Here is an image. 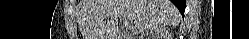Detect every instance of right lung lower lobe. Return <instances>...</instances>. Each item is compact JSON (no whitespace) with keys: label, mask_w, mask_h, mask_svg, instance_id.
<instances>
[{"label":"right lung lower lobe","mask_w":249,"mask_h":39,"mask_svg":"<svg viewBox=\"0 0 249 39\" xmlns=\"http://www.w3.org/2000/svg\"><path fill=\"white\" fill-rule=\"evenodd\" d=\"M174 5L179 9L180 13L184 17L185 7H186V1L185 0H172Z\"/></svg>","instance_id":"98d812e1"}]
</instances>
